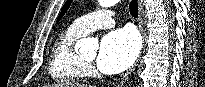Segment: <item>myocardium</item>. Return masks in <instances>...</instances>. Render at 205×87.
Returning <instances> with one entry per match:
<instances>
[{
  "mask_svg": "<svg viewBox=\"0 0 205 87\" xmlns=\"http://www.w3.org/2000/svg\"><path fill=\"white\" fill-rule=\"evenodd\" d=\"M80 59H81V61H82L84 64L88 63L86 60H84V59H82V58H80Z\"/></svg>",
  "mask_w": 205,
  "mask_h": 87,
  "instance_id": "f54148a6",
  "label": "myocardium"
}]
</instances>
